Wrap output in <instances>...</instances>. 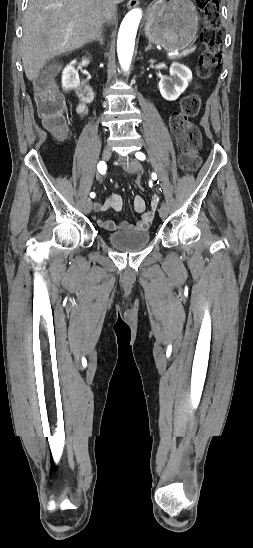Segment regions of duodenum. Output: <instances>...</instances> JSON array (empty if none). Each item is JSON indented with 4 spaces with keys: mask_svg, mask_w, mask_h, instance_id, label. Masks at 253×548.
I'll return each mask as SVG.
<instances>
[{
    "mask_svg": "<svg viewBox=\"0 0 253 548\" xmlns=\"http://www.w3.org/2000/svg\"><path fill=\"white\" fill-rule=\"evenodd\" d=\"M76 92L84 101H91L94 98L93 87L85 80H81L76 86Z\"/></svg>",
    "mask_w": 253,
    "mask_h": 548,
    "instance_id": "1",
    "label": "duodenum"
}]
</instances>
